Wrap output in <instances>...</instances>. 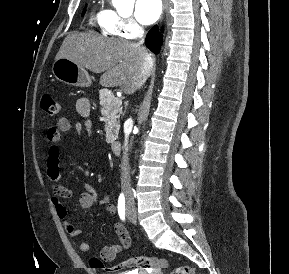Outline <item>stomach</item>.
<instances>
[{
	"label": "stomach",
	"instance_id": "obj_1",
	"mask_svg": "<svg viewBox=\"0 0 289 274\" xmlns=\"http://www.w3.org/2000/svg\"><path fill=\"white\" fill-rule=\"evenodd\" d=\"M52 73L57 80L68 85L76 87H89L91 85L88 72L67 58L56 59L52 65Z\"/></svg>",
	"mask_w": 289,
	"mask_h": 274
}]
</instances>
